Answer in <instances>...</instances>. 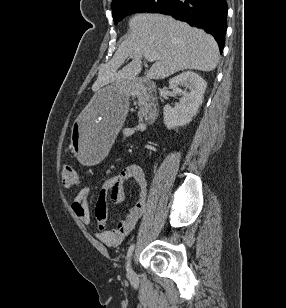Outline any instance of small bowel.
<instances>
[{
  "mask_svg": "<svg viewBox=\"0 0 286 308\" xmlns=\"http://www.w3.org/2000/svg\"><path fill=\"white\" fill-rule=\"evenodd\" d=\"M145 124L123 130V138L128 139L136 132H144ZM129 181H134L138 186V200L124 220L119 221L116 229H106L103 223L108 217V199L113 204L122 202L125 198V187ZM89 188L83 187L72 200V209L78 218L85 224L92 223V215L88 207L87 198ZM146 209V179L141 166L130 164L119 174L111 177L102 185L95 205V216L99 222L97 238L107 246L117 247L124 238L136 227Z\"/></svg>",
  "mask_w": 286,
  "mask_h": 308,
  "instance_id": "1",
  "label": "small bowel"
}]
</instances>
